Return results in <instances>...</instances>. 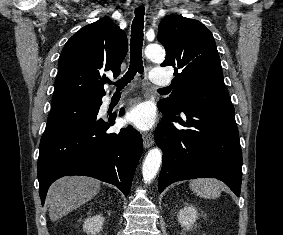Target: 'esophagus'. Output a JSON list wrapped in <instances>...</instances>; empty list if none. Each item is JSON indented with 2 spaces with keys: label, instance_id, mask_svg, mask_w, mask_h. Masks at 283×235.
<instances>
[{
  "label": "esophagus",
  "instance_id": "obj_1",
  "mask_svg": "<svg viewBox=\"0 0 283 235\" xmlns=\"http://www.w3.org/2000/svg\"><path fill=\"white\" fill-rule=\"evenodd\" d=\"M136 6H141L142 5V1L141 0H137L135 3ZM154 143V138L153 135L151 133H144L143 134V145L145 148H149L153 145Z\"/></svg>",
  "mask_w": 283,
  "mask_h": 235
}]
</instances>
